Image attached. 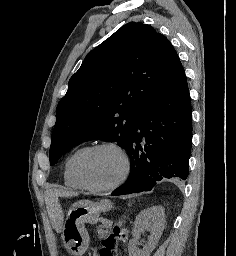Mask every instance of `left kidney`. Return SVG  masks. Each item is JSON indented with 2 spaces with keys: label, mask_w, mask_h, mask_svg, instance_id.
I'll list each match as a JSON object with an SVG mask.
<instances>
[{
  "label": "left kidney",
  "mask_w": 236,
  "mask_h": 256,
  "mask_svg": "<svg viewBox=\"0 0 236 256\" xmlns=\"http://www.w3.org/2000/svg\"><path fill=\"white\" fill-rule=\"evenodd\" d=\"M164 224L165 208L163 206H153V208H147V210L140 212L134 224L133 240H130L128 244L129 256H150L162 236ZM144 230L151 232V236L148 238L147 244L143 246V250H138L136 246L139 244L138 240Z\"/></svg>",
  "instance_id": "1"
}]
</instances>
